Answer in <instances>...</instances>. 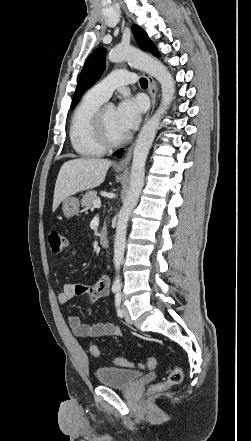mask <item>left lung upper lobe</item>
<instances>
[{"label":"left lung upper lobe","instance_id":"left-lung-upper-lobe-1","mask_svg":"<svg viewBox=\"0 0 251 441\" xmlns=\"http://www.w3.org/2000/svg\"><path fill=\"white\" fill-rule=\"evenodd\" d=\"M132 31L139 47L142 50L149 51L155 56L160 55L153 42L148 38L147 33L141 27L138 25H133ZM105 55L106 50L103 47H100L96 49L87 59L80 74L72 100L71 109L78 104L84 92L90 88L101 76L103 70L105 69Z\"/></svg>","mask_w":251,"mask_h":441}]
</instances>
